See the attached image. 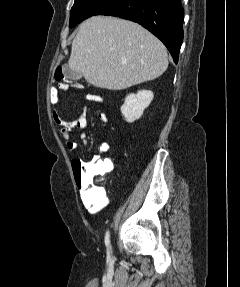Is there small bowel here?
I'll return each mask as SVG.
<instances>
[{
	"label": "small bowel",
	"mask_w": 240,
	"mask_h": 287,
	"mask_svg": "<svg viewBox=\"0 0 240 287\" xmlns=\"http://www.w3.org/2000/svg\"><path fill=\"white\" fill-rule=\"evenodd\" d=\"M86 99L91 102H97V103L103 102V97L97 94H87ZM98 118L103 125L107 124L108 118L104 113H100L98 115ZM54 122L59 130L62 139L66 142V149L68 152L72 153L77 149V144L70 139L72 129H78L82 131L80 134V138L82 140L84 147L88 146L86 134L83 132V130H85L88 127V118L86 110H84L80 115H78L72 121H66L61 114H58L56 117H54ZM109 148L110 146L107 141L101 142L98 146V154H96L93 157V162L104 161L101 159L100 154L108 152ZM81 200L90 213H97L98 211L103 209L107 204L106 197L103 194H101L99 190L96 188L91 189L89 191V194L85 195L81 193Z\"/></svg>",
	"instance_id": "small-bowel-1"
}]
</instances>
